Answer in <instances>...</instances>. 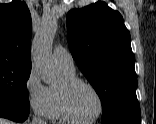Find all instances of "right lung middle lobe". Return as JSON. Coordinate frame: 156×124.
<instances>
[{
  "mask_svg": "<svg viewBox=\"0 0 156 124\" xmlns=\"http://www.w3.org/2000/svg\"><path fill=\"white\" fill-rule=\"evenodd\" d=\"M31 66L0 63V98L29 105L26 82Z\"/></svg>",
  "mask_w": 156,
  "mask_h": 124,
  "instance_id": "dd1d6c3e",
  "label": "right lung middle lobe"
}]
</instances>
